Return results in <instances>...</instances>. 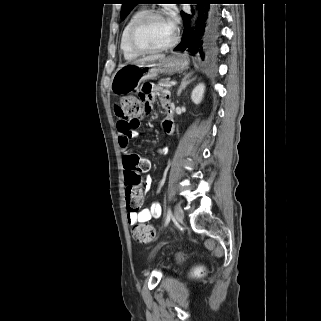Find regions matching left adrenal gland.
Listing matches in <instances>:
<instances>
[{"label": "left adrenal gland", "instance_id": "left-adrenal-gland-1", "mask_svg": "<svg viewBox=\"0 0 321 321\" xmlns=\"http://www.w3.org/2000/svg\"><path fill=\"white\" fill-rule=\"evenodd\" d=\"M192 74H193V72L188 73V74L182 79L181 85H180V87H179V89H178V93H177L178 96L181 94L182 90L187 87L188 84H190L191 82H193V81L196 79V77L190 79V77L192 76Z\"/></svg>", "mask_w": 321, "mask_h": 321}]
</instances>
